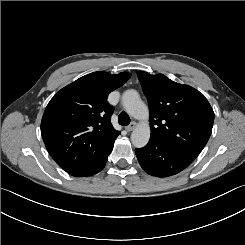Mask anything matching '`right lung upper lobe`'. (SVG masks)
I'll list each match as a JSON object with an SVG mask.
<instances>
[{
  "label": "right lung upper lobe",
  "instance_id": "obj_1",
  "mask_svg": "<svg viewBox=\"0 0 245 245\" xmlns=\"http://www.w3.org/2000/svg\"><path fill=\"white\" fill-rule=\"evenodd\" d=\"M131 74L94 72L61 89L48 103L41 135L54 161L72 176L108 155L120 134L110 123V92Z\"/></svg>",
  "mask_w": 245,
  "mask_h": 245
}]
</instances>
